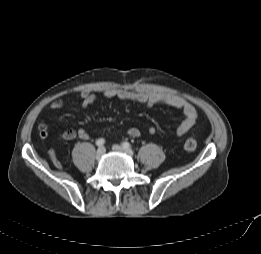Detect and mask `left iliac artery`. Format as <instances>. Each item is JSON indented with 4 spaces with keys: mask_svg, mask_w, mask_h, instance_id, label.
<instances>
[{
    "mask_svg": "<svg viewBox=\"0 0 261 254\" xmlns=\"http://www.w3.org/2000/svg\"><path fill=\"white\" fill-rule=\"evenodd\" d=\"M122 146H123L125 149H130V147H131L130 143H128V142H124V143L122 144Z\"/></svg>",
    "mask_w": 261,
    "mask_h": 254,
    "instance_id": "left-iliac-artery-1",
    "label": "left iliac artery"
}]
</instances>
